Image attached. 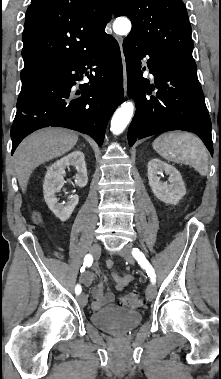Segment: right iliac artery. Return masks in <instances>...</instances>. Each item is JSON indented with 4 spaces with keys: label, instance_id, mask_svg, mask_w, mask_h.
Segmentation results:
<instances>
[{
    "label": "right iliac artery",
    "instance_id": "obj_1",
    "mask_svg": "<svg viewBox=\"0 0 221 379\" xmlns=\"http://www.w3.org/2000/svg\"><path fill=\"white\" fill-rule=\"evenodd\" d=\"M93 263V256L91 254H87L84 258V264H83V271L85 270V267H90ZM82 291L81 285L77 284L75 287V293L79 295Z\"/></svg>",
    "mask_w": 221,
    "mask_h": 379
}]
</instances>
